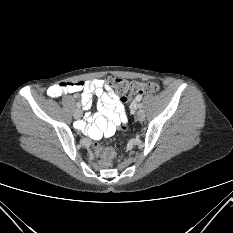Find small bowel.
Segmentation results:
<instances>
[{"instance_id": "c3829d8e", "label": "small bowel", "mask_w": 233, "mask_h": 233, "mask_svg": "<svg viewBox=\"0 0 233 233\" xmlns=\"http://www.w3.org/2000/svg\"><path fill=\"white\" fill-rule=\"evenodd\" d=\"M80 91L85 110L91 108L93 95L98 98V112L88 113L86 120L94 123L88 125L85 121L81 122L77 126L78 130L86 132L93 139H100L103 136H112L122 124L127 122L123 101L114 91L107 90L102 79L57 83L48 88L47 95L58 98L63 94Z\"/></svg>"}]
</instances>
